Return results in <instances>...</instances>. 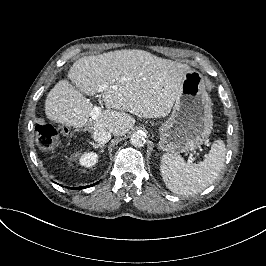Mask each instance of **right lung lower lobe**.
I'll use <instances>...</instances> for the list:
<instances>
[{"mask_svg": "<svg viewBox=\"0 0 266 266\" xmlns=\"http://www.w3.org/2000/svg\"><path fill=\"white\" fill-rule=\"evenodd\" d=\"M95 184H97V183H95ZM95 184H93V185H95ZM93 185H91V186H93ZM88 186H83V187H78V188H74V189H84V188H87ZM71 189H73V188H71Z\"/></svg>", "mask_w": 266, "mask_h": 266, "instance_id": "98d812e1", "label": "right lung lower lobe"}]
</instances>
